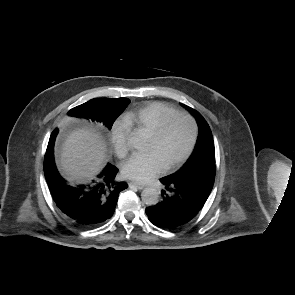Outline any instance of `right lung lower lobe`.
Masks as SVG:
<instances>
[{"label":"right lung lower lobe","mask_w":295,"mask_h":295,"mask_svg":"<svg viewBox=\"0 0 295 295\" xmlns=\"http://www.w3.org/2000/svg\"><path fill=\"white\" fill-rule=\"evenodd\" d=\"M57 132L54 130L50 136L45 159L53 157ZM117 172L118 169L108 163L98 179L77 186L70 185L58 171L45 178L54 201L67 219L79 227L92 228L112 217L119 193L128 187L126 182L115 179Z\"/></svg>","instance_id":"obj_1"}]
</instances>
